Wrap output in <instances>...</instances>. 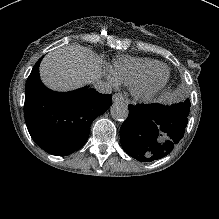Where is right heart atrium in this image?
<instances>
[{
	"label": "right heart atrium",
	"instance_id": "d8ad5b80",
	"mask_svg": "<svg viewBox=\"0 0 219 219\" xmlns=\"http://www.w3.org/2000/svg\"><path fill=\"white\" fill-rule=\"evenodd\" d=\"M109 80H110V82L115 83V80H114V78H112V76H109Z\"/></svg>",
	"mask_w": 219,
	"mask_h": 219
}]
</instances>
